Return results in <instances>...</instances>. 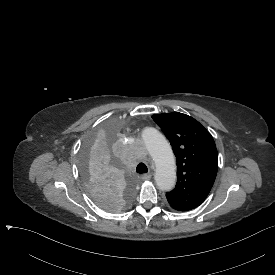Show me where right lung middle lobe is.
Here are the masks:
<instances>
[{"mask_svg":"<svg viewBox=\"0 0 275 275\" xmlns=\"http://www.w3.org/2000/svg\"><path fill=\"white\" fill-rule=\"evenodd\" d=\"M121 123L108 118L92 128L79 151V179L94 203L104 211L119 212L136 197L133 179L116 159Z\"/></svg>","mask_w":275,"mask_h":275,"instance_id":"right-lung-middle-lobe-1","label":"right lung middle lobe"}]
</instances>
